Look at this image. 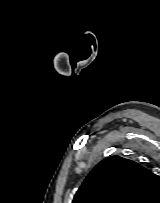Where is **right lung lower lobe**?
Wrapping results in <instances>:
<instances>
[{
    "label": "right lung lower lobe",
    "mask_w": 160,
    "mask_h": 203,
    "mask_svg": "<svg viewBox=\"0 0 160 203\" xmlns=\"http://www.w3.org/2000/svg\"><path fill=\"white\" fill-rule=\"evenodd\" d=\"M156 199L157 200L155 202H152V203H160V194H159V196Z\"/></svg>",
    "instance_id": "1"
}]
</instances>
